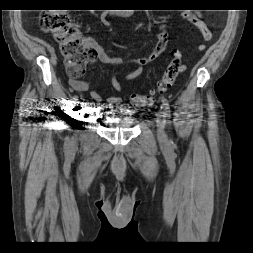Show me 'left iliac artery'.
Instances as JSON below:
<instances>
[{
  "label": "left iliac artery",
  "mask_w": 253,
  "mask_h": 253,
  "mask_svg": "<svg viewBox=\"0 0 253 253\" xmlns=\"http://www.w3.org/2000/svg\"><path fill=\"white\" fill-rule=\"evenodd\" d=\"M162 108L164 109V116L170 118L169 104L165 98L162 99ZM168 122L170 123V120H168Z\"/></svg>",
  "instance_id": "left-iliac-artery-1"
}]
</instances>
